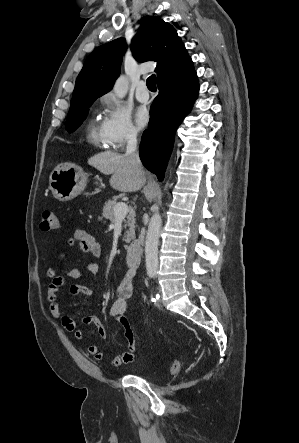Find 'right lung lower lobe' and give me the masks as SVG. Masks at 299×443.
<instances>
[{
    "label": "right lung lower lobe",
    "mask_w": 299,
    "mask_h": 443,
    "mask_svg": "<svg viewBox=\"0 0 299 443\" xmlns=\"http://www.w3.org/2000/svg\"><path fill=\"white\" fill-rule=\"evenodd\" d=\"M158 87L159 94L150 107V121L143 133L139 154L144 166L162 181L175 131L190 112L199 85L193 68L181 77L158 81Z\"/></svg>",
    "instance_id": "obj_1"
}]
</instances>
